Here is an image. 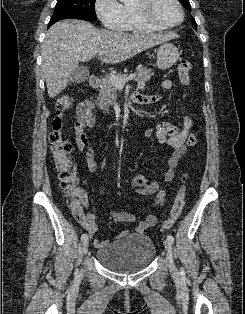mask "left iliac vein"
I'll return each instance as SVG.
<instances>
[{
    "mask_svg": "<svg viewBox=\"0 0 245 314\" xmlns=\"http://www.w3.org/2000/svg\"><path fill=\"white\" fill-rule=\"evenodd\" d=\"M164 247H165V250H166V253H167V261H168V266H169V269L171 272H176V266L173 262V257H172V246H171V242L166 239L164 241Z\"/></svg>",
    "mask_w": 245,
    "mask_h": 314,
    "instance_id": "1",
    "label": "left iliac vein"
}]
</instances>
